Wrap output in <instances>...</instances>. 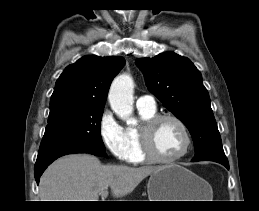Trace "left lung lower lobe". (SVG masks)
Returning <instances> with one entry per match:
<instances>
[{
  "label": "left lung lower lobe",
  "mask_w": 259,
  "mask_h": 211,
  "mask_svg": "<svg viewBox=\"0 0 259 211\" xmlns=\"http://www.w3.org/2000/svg\"><path fill=\"white\" fill-rule=\"evenodd\" d=\"M221 164H223L227 169H229V164H228V162H222Z\"/></svg>",
  "instance_id": "left-lung-lower-lobe-1"
}]
</instances>
